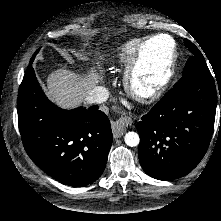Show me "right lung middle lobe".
Returning a JSON list of instances; mask_svg holds the SVG:
<instances>
[{"label":"right lung middle lobe","instance_id":"dd1d6c3e","mask_svg":"<svg viewBox=\"0 0 221 221\" xmlns=\"http://www.w3.org/2000/svg\"><path fill=\"white\" fill-rule=\"evenodd\" d=\"M38 51H39V50H37V51L34 53L33 57H32V58H31V60H30V64H29V65H31V64H32V62H33V60H34V58H35L36 54L38 53Z\"/></svg>","mask_w":221,"mask_h":221}]
</instances>
